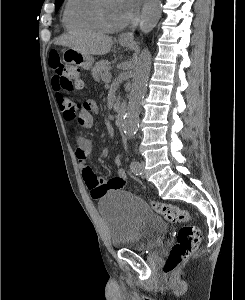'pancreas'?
<instances>
[{
    "instance_id": "pancreas-1",
    "label": "pancreas",
    "mask_w": 245,
    "mask_h": 300,
    "mask_svg": "<svg viewBox=\"0 0 245 300\" xmlns=\"http://www.w3.org/2000/svg\"><path fill=\"white\" fill-rule=\"evenodd\" d=\"M110 70V66L108 61L102 60L95 64V67L92 68V76L95 81H105L108 82L110 79L108 75Z\"/></svg>"
}]
</instances>
